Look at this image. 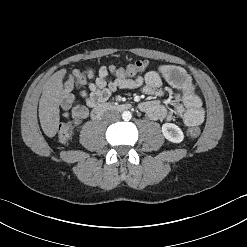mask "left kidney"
I'll list each match as a JSON object with an SVG mask.
<instances>
[{"instance_id":"1","label":"left kidney","mask_w":247,"mask_h":247,"mask_svg":"<svg viewBox=\"0 0 247 247\" xmlns=\"http://www.w3.org/2000/svg\"><path fill=\"white\" fill-rule=\"evenodd\" d=\"M163 136L170 142L180 143L184 139L182 130L173 123H165L162 125Z\"/></svg>"}]
</instances>
